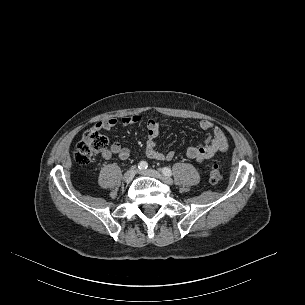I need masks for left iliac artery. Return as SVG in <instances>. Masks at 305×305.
Instances as JSON below:
<instances>
[{"instance_id":"obj_1","label":"left iliac artery","mask_w":305,"mask_h":305,"mask_svg":"<svg viewBox=\"0 0 305 305\" xmlns=\"http://www.w3.org/2000/svg\"><path fill=\"white\" fill-rule=\"evenodd\" d=\"M162 172H163V174H164L165 176H168V177H170V176L172 175V171H171V169L168 168V167H164V168L162 169Z\"/></svg>"}]
</instances>
